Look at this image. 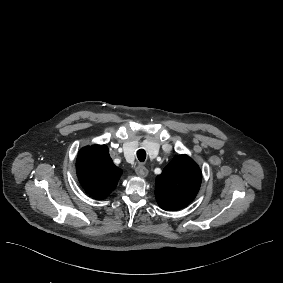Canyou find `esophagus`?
<instances>
[{
  "mask_svg": "<svg viewBox=\"0 0 283 283\" xmlns=\"http://www.w3.org/2000/svg\"><path fill=\"white\" fill-rule=\"evenodd\" d=\"M135 172L140 177H146L148 175V169L144 165H138Z\"/></svg>",
  "mask_w": 283,
  "mask_h": 283,
  "instance_id": "obj_1",
  "label": "esophagus"
}]
</instances>
